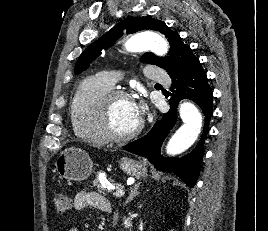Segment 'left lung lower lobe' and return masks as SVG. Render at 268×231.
I'll list each match as a JSON object with an SVG mask.
<instances>
[{
  "mask_svg": "<svg viewBox=\"0 0 268 231\" xmlns=\"http://www.w3.org/2000/svg\"><path fill=\"white\" fill-rule=\"evenodd\" d=\"M169 76L172 79L171 91L173 92L169 100L170 110L156 122L146 136L127 144L124 149L146 157L156 169L174 173L187 186L193 187L197 181L203 158L204 139L212 115L213 93L208 84L207 75L197 57L192 58L182 70ZM183 98L193 100L202 109L205 116L204 132L197 146L186 156L163 158L160 156V147L177 121V105Z\"/></svg>",
  "mask_w": 268,
  "mask_h": 231,
  "instance_id": "left-lung-lower-lobe-1",
  "label": "left lung lower lobe"
}]
</instances>
